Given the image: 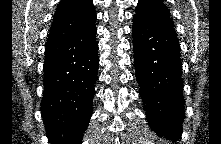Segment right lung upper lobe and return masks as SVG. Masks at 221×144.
Here are the masks:
<instances>
[{
	"mask_svg": "<svg viewBox=\"0 0 221 144\" xmlns=\"http://www.w3.org/2000/svg\"><path fill=\"white\" fill-rule=\"evenodd\" d=\"M95 20L92 0H62L55 12L46 46L87 29Z\"/></svg>",
	"mask_w": 221,
	"mask_h": 144,
	"instance_id": "right-lung-upper-lobe-1",
	"label": "right lung upper lobe"
}]
</instances>
